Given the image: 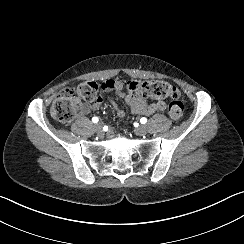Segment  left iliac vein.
Instances as JSON below:
<instances>
[{
	"instance_id": "obj_1",
	"label": "left iliac vein",
	"mask_w": 244,
	"mask_h": 244,
	"mask_svg": "<svg viewBox=\"0 0 244 244\" xmlns=\"http://www.w3.org/2000/svg\"><path fill=\"white\" fill-rule=\"evenodd\" d=\"M147 133V128L145 126H139L135 129V134L138 136H143Z\"/></svg>"
}]
</instances>
